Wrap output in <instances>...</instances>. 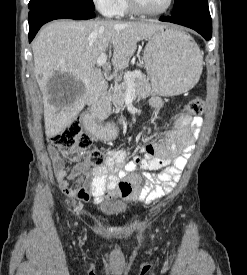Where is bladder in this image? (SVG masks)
Wrapping results in <instances>:
<instances>
[{
	"label": "bladder",
	"instance_id": "31cf9c89",
	"mask_svg": "<svg viewBox=\"0 0 247 275\" xmlns=\"http://www.w3.org/2000/svg\"><path fill=\"white\" fill-rule=\"evenodd\" d=\"M100 212L108 217H116V216H120L123 214V209L118 206V205H108V206H103L100 209Z\"/></svg>",
	"mask_w": 247,
	"mask_h": 275
}]
</instances>
